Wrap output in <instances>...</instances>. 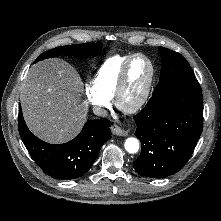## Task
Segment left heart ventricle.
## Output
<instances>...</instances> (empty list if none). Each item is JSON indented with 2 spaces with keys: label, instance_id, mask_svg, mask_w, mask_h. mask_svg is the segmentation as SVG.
Instances as JSON below:
<instances>
[{
  "label": "left heart ventricle",
  "instance_id": "left-heart-ventricle-1",
  "mask_svg": "<svg viewBox=\"0 0 221 221\" xmlns=\"http://www.w3.org/2000/svg\"><path fill=\"white\" fill-rule=\"evenodd\" d=\"M150 76V66L143 58H136L129 69L127 86L122 98L124 106L134 104L142 95Z\"/></svg>",
  "mask_w": 221,
  "mask_h": 221
}]
</instances>
